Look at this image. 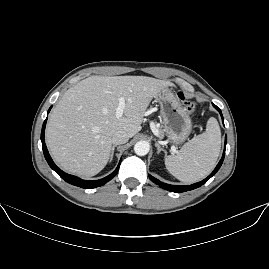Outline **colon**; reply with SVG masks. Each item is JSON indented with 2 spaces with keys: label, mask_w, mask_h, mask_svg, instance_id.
Instances as JSON below:
<instances>
[{
  "label": "colon",
  "mask_w": 269,
  "mask_h": 269,
  "mask_svg": "<svg viewBox=\"0 0 269 269\" xmlns=\"http://www.w3.org/2000/svg\"><path fill=\"white\" fill-rule=\"evenodd\" d=\"M196 106H197V103L193 100L186 101L184 103V108L190 113H194V111L196 110Z\"/></svg>",
  "instance_id": "colon-1"
}]
</instances>
